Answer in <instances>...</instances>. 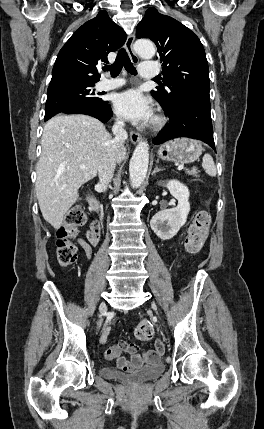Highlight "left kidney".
I'll use <instances>...</instances> for the list:
<instances>
[{
  "label": "left kidney",
  "instance_id": "5707ae66",
  "mask_svg": "<svg viewBox=\"0 0 264 429\" xmlns=\"http://www.w3.org/2000/svg\"><path fill=\"white\" fill-rule=\"evenodd\" d=\"M171 195L178 200V205L173 209H165L156 213L151 221V229L162 240L173 238L180 228L186 223L190 211L189 189L178 180H170L164 184Z\"/></svg>",
  "mask_w": 264,
  "mask_h": 429
}]
</instances>
